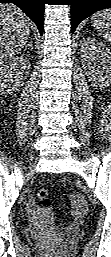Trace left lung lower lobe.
<instances>
[{
  "mask_svg": "<svg viewBox=\"0 0 111 257\" xmlns=\"http://www.w3.org/2000/svg\"><path fill=\"white\" fill-rule=\"evenodd\" d=\"M71 30L74 33L77 25L94 12L111 8V0H71Z\"/></svg>",
  "mask_w": 111,
  "mask_h": 257,
  "instance_id": "left-lung-lower-lobe-1",
  "label": "left lung lower lobe"
}]
</instances>
